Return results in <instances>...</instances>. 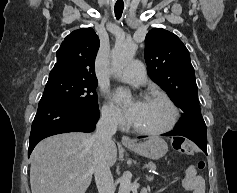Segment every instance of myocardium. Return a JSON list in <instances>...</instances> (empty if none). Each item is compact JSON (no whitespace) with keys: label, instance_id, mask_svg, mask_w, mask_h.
I'll use <instances>...</instances> for the list:
<instances>
[{"label":"myocardium","instance_id":"f54148a6","mask_svg":"<svg viewBox=\"0 0 237 193\" xmlns=\"http://www.w3.org/2000/svg\"><path fill=\"white\" fill-rule=\"evenodd\" d=\"M144 100H161L163 101L171 111V117L169 123L160 129L150 130L140 128L132 123V128L139 134L148 135V136H158L170 132L177 124L179 119V110L175 103L163 93H151L145 96Z\"/></svg>","mask_w":237,"mask_h":193}]
</instances>
